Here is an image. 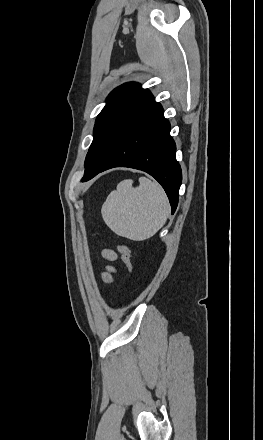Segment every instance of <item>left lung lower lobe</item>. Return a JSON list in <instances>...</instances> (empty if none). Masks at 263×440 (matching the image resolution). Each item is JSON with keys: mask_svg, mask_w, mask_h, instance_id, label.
<instances>
[{"mask_svg": "<svg viewBox=\"0 0 263 440\" xmlns=\"http://www.w3.org/2000/svg\"><path fill=\"white\" fill-rule=\"evenodd\" d=\"M175 153L169 121L164 118L162 106L152 97L134 116L104 167L82 179V182L114 167L145 171L162 185L174 213L182 181Z\"/></svg>", "mask_w": 263, "mask_h": 440, "instance_id": "0a47b994", "label": "left lung lower lobe"}]
</instances>
